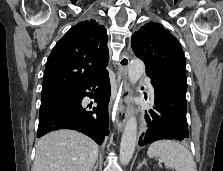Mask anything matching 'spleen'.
I'll list each match as a JSON object with an SVG mask.
<instances>
[{
  "label": "spleen",
  "instance_id": "obj_1",
  "mask_svg": "<svg viewBox=\"0 0 223 171\" xmlns=\"http://www.w3.org/2000/svg\"><path fill=\"white\" fill-rule=\"evenodd\" d=\"M147 155L150 158H160L166 168L176 171H197L190 151L173 140H161L152 143L148 148Z\"/></svg>",
  "mask_w": 223,
  "mask_h": 171
}]
</instances>
